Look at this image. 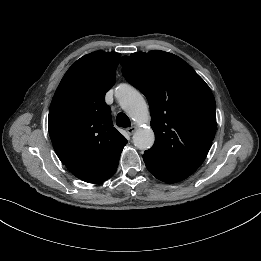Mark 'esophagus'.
Wrapping results in <instances>:
<instances>
[{"label":"esophagus","instance_id":"obj_1","mask_svg":"<svg viewBox=\"0 0 261 261\" xmlns=\"http://www.w3.org/2000/svg\"><path fill=\"white\" fill-rule=\"evenodd\" d=\"M135 130H136V126H131L126 129V131L129 135H132L135 132Z\"/></svg>","mask_w":261,"mask_h":261}]
</instances>
